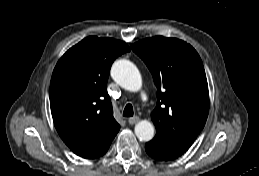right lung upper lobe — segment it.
<instances>
[{
  "label": "right lung upper lobe",
  "mask_w": 259,
  "mask_h": 176,
  "mask_svg": "<svg viewBox=\"0 0 259 176\" xmlns=\"http://www.w3.org/2000/svg\"><path fill=\"white\" fill-rule=\"evenodd\" d=\"M128 51L124 42L90 36L70 48L53 71L49 96L54 125L78 156L105 154L120 129L107 80L113 61Z\"/></svg>",
  "instance_id": "obj_1"
}]
</instances>
